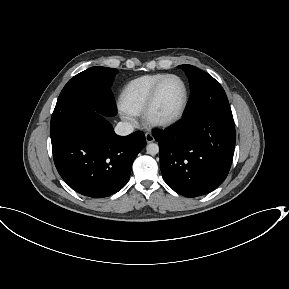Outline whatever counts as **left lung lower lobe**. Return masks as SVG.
<instances>
[{"mask_svg": "<svg viewBox=\"0 0 289 289\" xmlns=\"http://www.w3.org/2000/svg\"><path fill=\"white\" fill-rule=\"evenodd\" d=\"M164 181L186 197L207 194L230 170L236 133L233 117L200 113L153 134Z\"/></svg>", "mask_w": 289, "mask_h": 289, "instance_id": "1", "label": "left lung lower lobe"}]
</instances>
